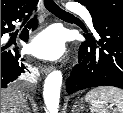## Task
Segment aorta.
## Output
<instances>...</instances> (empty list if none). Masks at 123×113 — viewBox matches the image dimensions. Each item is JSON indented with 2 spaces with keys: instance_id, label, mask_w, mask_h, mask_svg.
I'll return each instance as SVG.
<instances>
[{
  "instance_id": "1",
  "label": "aorta",
  "mask_w": 123,
  "mask_h": 113,
  "mask_svg": "<svg viewBox=\"0 0 123 113\" xmlns=\"http://www.w3.org/2000/svg\"><path fill=\"white\" fill-rule=\"evenodd\" d=\"M61 85L62 73L59 70L52 71L45 79L43 98L48 113H58Z\"/></svg>"
}]
</instances>
